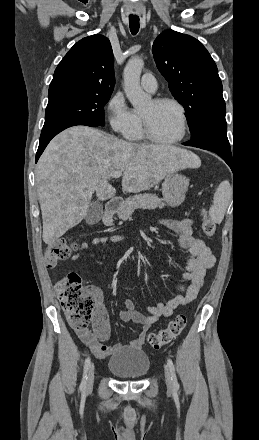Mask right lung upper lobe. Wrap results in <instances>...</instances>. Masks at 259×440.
<instances>
[{
	"label": "right lung upper lobe",
	"instance_id": "right-lung-upper-lobe-1",
	"mask_svg": "<svg viewBox=\"0 0 259 440\" xmlns=\"http://www.w3.org/2000/svg\"><path fill=\"white\" fill-rule=\"evenodd\" d=\"M114 56L108 38L95 34L78 41L58 64L49 95L69 90L112 92Z\"/></svg>",
	"mask_w": 259,
	"mask_h": 440
}]
</instances>
